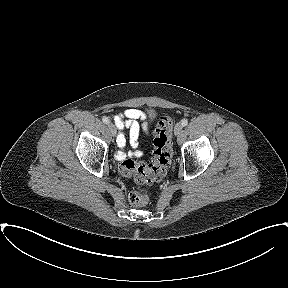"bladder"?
<instances>
[{"mask_svg": "<svg viewBox=\"0 0 288 288\" xmlns=\"http://www.w3.org/2000/svg\"><path fill=\"white\" fill-rule=\"evenodd\" d=\"M154 116H155V113H154L153 111H151V112H150V117H151V119H153Z\"/></svg>", "mask_w": 288, "mask_h": 288, "instance_id": "1", "label": "bladder"}]
</instances>
